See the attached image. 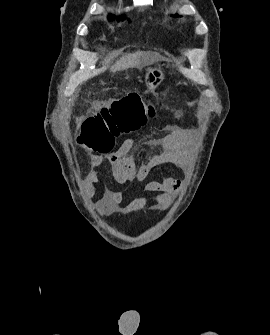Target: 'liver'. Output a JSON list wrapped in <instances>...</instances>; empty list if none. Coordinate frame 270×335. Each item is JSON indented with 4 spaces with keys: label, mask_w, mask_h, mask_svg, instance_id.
I'll use <instances>...</instances> for the list:
<instances>
[{
    "label": "liver",
    "mask_w": 270,
    "mask_h": 335,
    "mask_svg": "<svg viewBox=\"0 0 270 335\" xmlns=\"http://www.w3.org/2000/svg\"><path fill=\"white\" fill-rule=\"evenodd\" d=\"M145 52H134V54H126L122 56L114 66H112V72H118V70H128V68H134L141 64V58H145ZM150 62H153V58H148Z\"/></svg>",
    "instance_id": "obj_1"
}]
</instances>
